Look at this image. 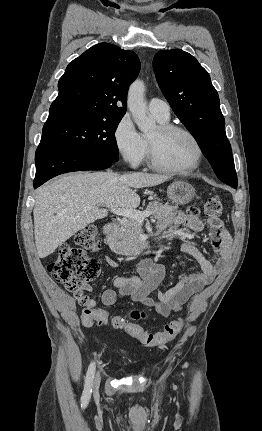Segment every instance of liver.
Wrapping results in <instances>:
<instances>
[{"label": "liver", "mask_w": 262, "mask_h": 431, "mask_svg": "<svg viewBox=\"0 0 262 431\" xmlns=\"http://www.w3.org/2000/svg\"><path fill=\"white\" fill-rule=\"evenodd\" d=\"M168 176L132 172H80L60 176L36 191L34 235L40 258L97 219L107 217L108 209H135L139 195L132 188L161 184ZM85 207H90L84 211ZM104 207V208H102Z\"/></svg>", "instance_id": "liver-1"}]
</instances>
